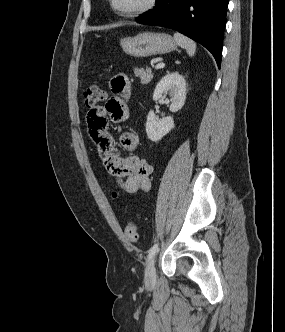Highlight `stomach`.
I'll use <instances>...</instances> for the list:
<instances>
[{
	"instance_id": "1",
	"label": "stomach",
	"mask_w": 285,
	"mask_h": 332,
	"mask_svg": "<svg viewBox=\"0 0 285 332\" xmlns=\"http://www.w3.org/2000/svg\"><path fill=\"white\" fill-rule=\"evenodd\" d=\"M123 51L133 57H149L176 49V41L166 33L144 32L120 41Z\"/></svg>"
}]
</instances>
